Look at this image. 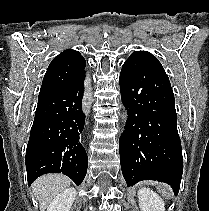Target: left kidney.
<instances>
[{
	"instance_id": "1",
	"label": "left kidney",
	"mask_w": 209,
	"mask_h": 211,
	"mask_svg": "<svg viewBox=\"0 0 209 211\" xmlns=\"http://www.w3.org/2000/svg\"><path fill=\"white\" fill-rule=\"evenodd\" d=\"M138 201L141 211H165L162 198L149 188H144L138 192Z\"/></svg>"
}]
</instances>
